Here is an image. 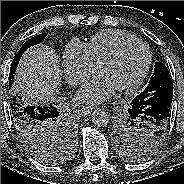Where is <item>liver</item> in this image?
<instances>
[{"label": "liver", "mask_w": 184, "mask_h": 184, "mask_svg": "<svg viewBox=\"0 0 184 184\" xmlns=\"http://www.w3.org/2000/svg\"><path fill=\"white\" fill-rule=\"evenodd\" d=\"M60 61L54 49L36 45L20 59L14 89L25 102L38 105L53 100L61 86Z\"/></svg>", "instance_id": "1"}]
</instances>
